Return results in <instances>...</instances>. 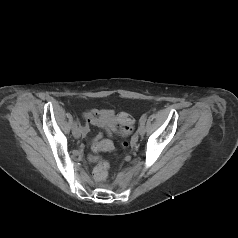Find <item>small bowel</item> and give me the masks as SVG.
<instances>
[{"label":"small bowel","instance_id":"1","mask_svg":"<svg viewBox=\"0 0 238 238\" xmlns=\"http://www.w3.org/2000/svg\"><path fill=\"white\" fill-rule=\"evenodd\" d=\"M117 114L113 110L109 109H92L86 111L83 114L85 125L82 128L83 134L86 135L89 132V125H94L105 130L108 135H112L117 131L118 125L115 123ZM103 134L96 135L91 141V148L94 151H102L101 146L106 145L111 147L109 140H103Z\"/></svg>","mask_w":238,"mask_h":238}]
</instances>
